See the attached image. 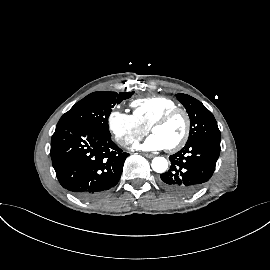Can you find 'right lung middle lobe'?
<instances>
[{
  "label": "right lung middle lobe",
  "mask_w": 270,
  "mask_h": 270,
  "mask_svg": "<svg viewBox=\"0 0 270 270\" xmlns=\"http://www.w3.org/2000/svg\"><path fill=\"white\" fill-rule=\"evenodd\" d=\"M133 93L108 91L91 93L66 112L60 118L57 127L82 125L111 135L108 128V117L112 108L123 100L130 98Z\"/></svg>",
  "instance_id": "dd1d6c3e"
}]
</instances>
